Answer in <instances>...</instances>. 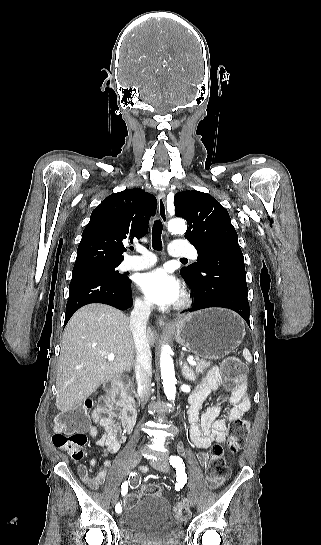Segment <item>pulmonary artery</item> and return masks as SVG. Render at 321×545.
I'll list each match as a JSON object with an SVG mask.
<instances>
[{"instance_id": "1", "label": "pulmonary artery", "mask_w": 321, "mask_h": 545, "mask_svg": "<svg viewBox=\"0 0 321 545\" xmlns=\"http://www.w3.org/2000/svg\"><path fill=\"white\" fill-rule=\"evenodd\" d=\"M171 256L173 259L182 258L183 261H192L197 258L195 255L196 250L194 246H189L187 241H175L174 245L170 250ZM147 257H150V254H147ZM156 259L148 260H136L131 258H126L121 264L120 269L123 271H139L145 270L152 267L156 263Z\"/></svg>"}]
</instances>
